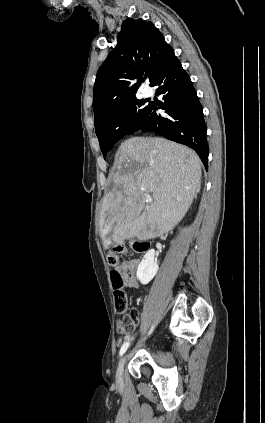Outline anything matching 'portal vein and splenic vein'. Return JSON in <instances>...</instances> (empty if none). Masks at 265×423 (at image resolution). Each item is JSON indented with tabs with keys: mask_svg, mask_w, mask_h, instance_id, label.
<instances>
[{
	"mask_svg": "<svg viewBox=\"0 0 265 423\" xmlns=\"http://www.w3.org/2000/svg\"><path fill=\"white\" fill-rule=\"evenodd\" d=\"M146 202H147V203H152V198H151V196H147V198H146Z\"/></svg>",
	"mask_w": 265,
	"mask_h": 423,
	"instance_id": "obj_1",
	"label": "portal vein and splenic vein"
}]
</instances>
